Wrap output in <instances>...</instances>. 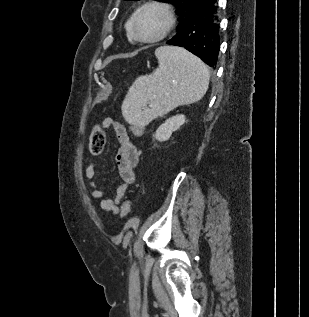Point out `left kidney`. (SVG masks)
<instances>
[{
  "mask_svg": "<svg viewBox=\"0 0 309 317\" xmlns=\"http://www.w3.org/2000/svg\"><path fill=\"white\" fill-rule=\"evenodd\" d=\"M185 123L184 115H176L167 119L163 124H161L155 133L156 140L163 142L168 140L172 133L178 130Z\"/></svg>",
  "mask_w": 309,
  "mask_h": 317,
  "instance_id": "obj_1",
  "label": "left kidney"
}]
</instances>
